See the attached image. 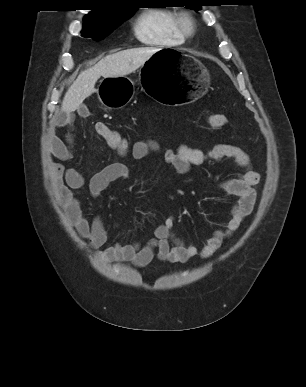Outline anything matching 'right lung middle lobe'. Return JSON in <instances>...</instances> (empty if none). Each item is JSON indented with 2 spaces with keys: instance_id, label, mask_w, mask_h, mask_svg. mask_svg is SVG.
I'll return each instance as SVG.
<instances>
[{
  "instance_id": "1",
  "label": "right lung middle lobe",
  "mask_w": 306,
  "mask_h": 387,
  "mask_svg": "<svg viewBox=\"0 0 306 387\" xmlns=\"http://www.w3.org/2000/svg\"><path fill=\"white\" fill-rule=\"evenodd\" d=\"M134 11L135 8H127L107 21H84L81 36L92 38L95 41L102 40L105 36L115 30L124 20L131 17Z\"/></svg>"
}]
</instances>
